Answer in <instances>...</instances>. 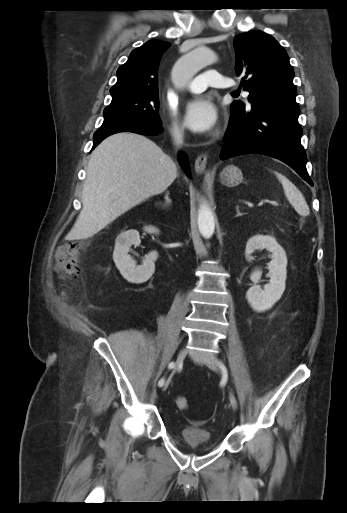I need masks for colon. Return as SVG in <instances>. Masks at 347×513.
<instances>
[{
  "instance_id": "5ec220e1",
  "label": "colon",
  "mask_w": 347,
  "mask_h": 513,
  "mask_svg": "<svg viewBox=\"0 0 347 513\" xmlns=\"http://www.w3.org/2000/svg\"><path fill=\"white\" fill-rule=\"evenodd\" d=\"M79 247L75 243H67L60 247L57 252L55 265L59 272L65 277H73L79 273ZM176 407L180 411L189 409V402L186 397L177 395L174 399Z\"/></svg>"
}]
</instances>
